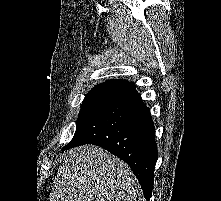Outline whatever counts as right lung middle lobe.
Masks as SVG:
<instances>
[{
    "label": "right lung middle lobe",
    "mask_w": 221,
    "mask_h": 201,
    "mask_svg": "<svg viewBox=\"0 0 221 201\" xmlns=\"http://www.w3.org/2000/svg\"><path fill=\"white\" fill-rule=\"evenodd\" d=\"M113 88H93L84 98L77 119L75 134L87 123V121L104 105L115 93Z\"/></svg>",
    "instance_id": "1"
}]
</instances>
